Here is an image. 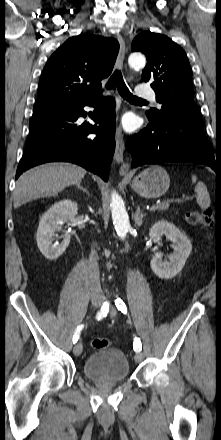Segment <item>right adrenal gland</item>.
I'll return each mask as SVG.
<instances>
[{"label":"right adrenal gland","mask_w":221,"mask_h":440,"mask_svg":"<svg viewBox=\"0 0 221 440\" xmlns=\"http://www.w3.org/2000/svg\"><path fill=\"white\" fill-rule=\"evenodd\" d=\"M76 186H77V188H79V189L83 190L85 193H87V195H89V192H88V190L86 188H84L80 184H77Z\"/></svg>","instance_id":"obj_1"}]
</instances>
